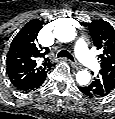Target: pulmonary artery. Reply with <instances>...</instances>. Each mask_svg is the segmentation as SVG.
Here are the masks:
<instances>
[{"instance_id":"obj_1","label":"pulmonary artery","mask_w":115,"mask_h":119,"mask_svg":"<svg viewBox=\"0 0 115 119\" xmlns=\"http://www.w3.org/2000/svg\"><path fill=\"white\" fill-rule=\"evenodd\" d=\"M75 54L77 58L87 67L97 70L100 67L97 59L89 51L84 39L78 38L75 42Z\"/></svg>"}]
</instances>
